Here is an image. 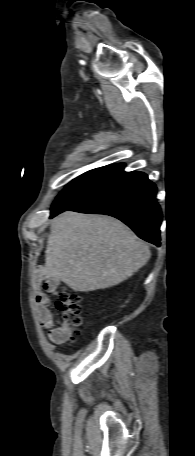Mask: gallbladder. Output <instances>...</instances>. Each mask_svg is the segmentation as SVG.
<instances>
[{"label":"gallbladder","instance_id":"1","mask_svg":"<svg viewBox=\"0 0 195 456\" xmlns=\"http://www.w3.org/2000/svg\"><path fill=\"white\" fill-rule=\"evenodd\" d=\"M48 283H49V285H50L51 287H55V286L57 285V282L54 281V280L51 279V278L48 280Z\"/></svg>","mask_w":195,"mask_h":456}]
</instances>
